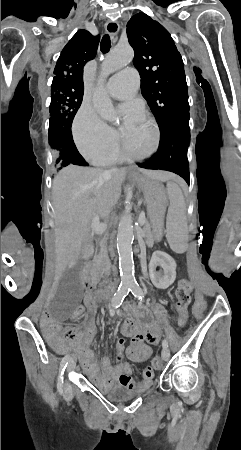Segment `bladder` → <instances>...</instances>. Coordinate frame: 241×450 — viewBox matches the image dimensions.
Returning <instances> with one entry per match:
<instances>
[{"label": "bladder", "mask_w": 241, "mask_h": 450, "mask_svg": "<svg viewBox=\"0 0 241 450\" xmlns=\"http://www.w3.org/2000/svg\"><path fill=\"white\" fill-rule=\"evenodd\" d=\"M137 392L125 387L122 384H117L108 392V396L113 401H126L132 399Z\"/></svg>", "instance_id": "obj_1"}]
</instances>
